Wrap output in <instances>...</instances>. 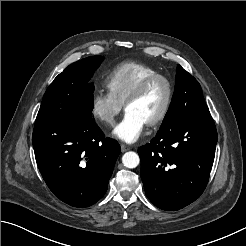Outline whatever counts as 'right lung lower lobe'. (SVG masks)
<instances>
[{
  "mask_svg": "<svg viewBox=\"0 0 246 246\" xmlns=\"http://www.w3.org/2000/svg\"><path fill=\"white\" fill-rule=\"evenodd\" d=\"M32 143L43 179L61 201L88 207L104 196L120 146L93 120L36 121Z\"/></svg>",
  "mask_w": 246,
  "mask_h": 246,
  "instance_id": "98d812e1",
  "label": "right lung lower lobe"
}]
</instances>
